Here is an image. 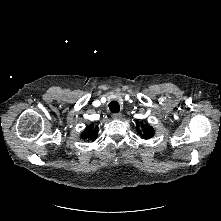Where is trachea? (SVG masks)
I'll return each mask as SVG.
<instances>
[{"instance_id":"trachea-1","label":"trachea","mask_w":221,"mask_h":221,"mask_svg":"<svg viewBox=\"0 0 221 221\" xmlns=\"http://www.w3.org/2000/svg\"><path fill=\"white\" fill-rule=\"evenodd\" d=\"M109 109L112 113H118L120 111V105L117 101H112L109 103Z\"/></svg>"}]
</instances>
